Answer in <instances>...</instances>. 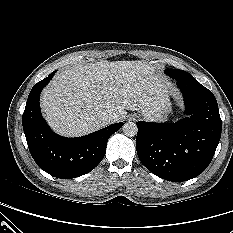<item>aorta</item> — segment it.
<instances>
[{
  "label": "aorta",
  "instance_id": "obj_1",
  "mask_svg": "<svg viewBox=\"0 0 233 233\" xmlns=\"http://www.w3.org/2000/svg\"><path fill=\"white\" fill-rule=\"evenodd\" d=\"M122 131L126 136L133 137L138 132V127L134 122H126L122 126Z\"/></svg>",
  "mask_w": 233,
  "mask_h": 233
}]
</instances>
